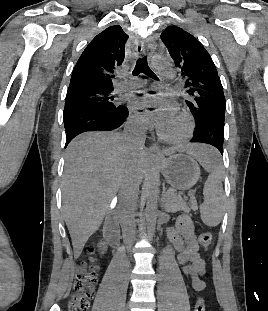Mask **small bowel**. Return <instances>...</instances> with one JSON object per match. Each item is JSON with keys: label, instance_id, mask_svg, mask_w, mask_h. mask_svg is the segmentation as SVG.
Masks as SVG:
<instances>
[{"label": "small bowel", "instance_id": "obj_1", "mask_svg": "<svg viewBox=\"0 0 268 311\" xmlns=\"http://www.w3.org/2000/svg\"><path fill=\"white\" fill-rule=\"evenodd\" d=\"M167 236L177 250V262L181 265L182 273L191 279V287L196 292L205 289L201 276L206 272V263L199 254L194 224L190 216L180 215L174 226L167 229Z\"/></svg>", "mask_w": 268, "mask_h": 311}]
</instances>
